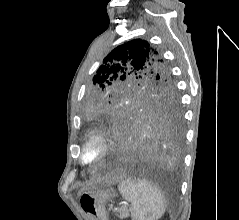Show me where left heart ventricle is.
Returning <instances> with one entry per match:
<instances>
[{
	"label": "left heart ventricle",
	"mask_w": 239,
	"mask_h": 220,
	"mask_svg": "<svg viewBox=\"0 0 239 220\" xmlns=\"http://www.w3.org/2000/svg\"><path fill=\"white\" fill-rule=\"evenodd\" d=\"M96 155V147L92 146L89 148L88 152H87V157L88 158H92Z\"/></svg>",
	"instance_id": "left-heart-ventricle-1"
}]
</instances>
